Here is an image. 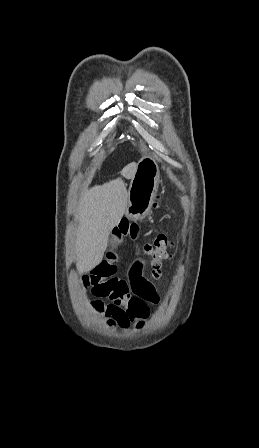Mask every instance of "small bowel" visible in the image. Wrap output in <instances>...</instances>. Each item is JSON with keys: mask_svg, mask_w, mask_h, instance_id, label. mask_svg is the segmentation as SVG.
Segmentation results:
<instances>
[{"mask_svg": "<svg viewBox=\"0 0 259 448\" xmlns=\"http://www.w3.org/2000/svg\"><path fill=\"white\" fill-rule=\"evenodd\" d=\"M138 233V226L127 220L113 230L116 243H122L127 236L135 239ZM118 259V253L109 250L105 258L83 276L81 284L91 288L96 296L110 299L108 304L101 300L90 302L93 312L104 317L109 326L128 328L135 324L140 328L149 317V304H157L159 296L153 284L143 277L142 263L138 260L130 266L126 279L117 277Z\"/></svg>", "mask_w": 259, "mask_h": 448, "instance_id": "small-bowel-1", "label": "small bowel"}]
</instances>
